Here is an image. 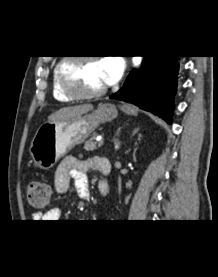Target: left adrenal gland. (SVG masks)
<instances>
[{
	"mask_svg": "<svg viewBox=\"0 0 218 277\" xmlns=\"http://www.w3.org/2000/svg\"><path fill=\"white\" fill-rule=\"evenodd\" d=\"M138 132V128H135L133 131H132V136L134 135V134H136ZM120 133V129L117 131V133H116V135H118ZM114 143H115V147H116V149L118 150L119 148H120V142H119V140L118 139H114Z\"/></svg>",
	"mask_w": 218,
	"mask_h": 277,
	"instance_id": "left-adrenal-gland-1",
	"label": "left adrenal gland"
}]
</instances>
